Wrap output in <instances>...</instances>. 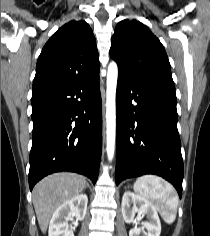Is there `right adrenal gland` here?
<instances>
[{
	"label": "right adrenal gland",
	"instance_id": "obj_1",
	"mask_svg": "<svg viewBox=\"0 0 210 236\" xmlns=\"http://www.w3.org/2000/svg\"><path fill=\"white\" fill-rule=\"evenodd\" d=\"M86 187L89 188V190L91 191V187L88 183L86 184Z\"/></svg>",
	"mask_w": 210,
	"mask_h": 236
}]
</instances>
